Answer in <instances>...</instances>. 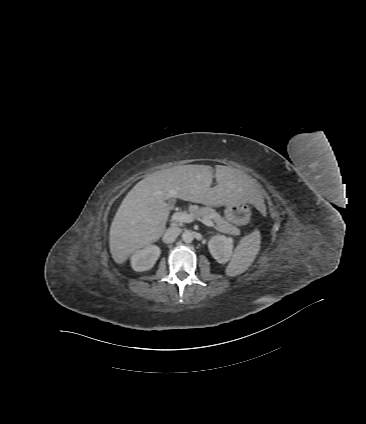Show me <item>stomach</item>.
<instances>
[{
    "instance_id": "stomach-1",
    "label": "stomach",
    "mask_w": 366,
    "mask_h": 424,
    "mask_svg": "<svg viewBox=\"0 0 366 424\" xmlns=\"http://www.w3.org/2000/svg\"><path fill=\"white\" fill-rule=\"evenodd\" d=\"M242 214H245L247 217L250 215L247 202L236 201L226 204L225 216L229 222L240 224L242 222Z\"/></svg>"
}]
</instances>
